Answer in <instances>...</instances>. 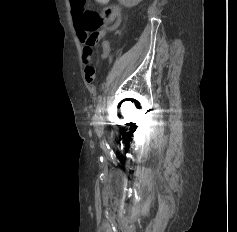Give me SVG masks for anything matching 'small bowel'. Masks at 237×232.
<instances>
[{"instance_id": "obj_1", "label": "small bowel", "mask_w": 237, "mask_h": 232, "mask_svg": "<svg viewBox=\"0 0 237 232\" xmlns=\"http://www.w3.org/2000/svg\"><path fill=\"white\" fill-rule=\"evenodd\" d=\"M93 1L98 4H105L109 0H93ZM112 8L115 11V15L112 18L106 19L104 21L103 29L100 32V35H103L106 31L114 30L120 22L121 17H120L119 7L112 6ZM79 38H80L81 42L84 43V47H83L84 76H85L86 81L88 83H90V82H92V80L94 79V76H95V63L92 58L94 44L87 42L86 40L82 39L80 36H79ZM108 54H109V46L105 44L103 47V57H106Z\"/></svg>"}]
</instances>
